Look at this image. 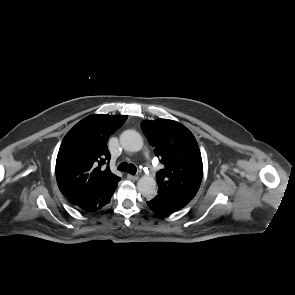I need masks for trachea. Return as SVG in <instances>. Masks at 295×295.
I'll return each instance as SVG.
<instances>
[{
    "instance_id": "1",
    "label": "trachea",
    "mask_w": 295,
    "mask_h": 295,
    "mask_svg": "<svg viewBox=\"0 0 295 295\" xmlns=\"http://www.w3.org/2000/svg\"><path fill=\"white\" fill-rule=\"evenodd\" d=\"M119 171L128 172L131 175H135L137 172V168L134 164H128L127 162H122L117 167Z\"/></svg>"
}]
</instances>
